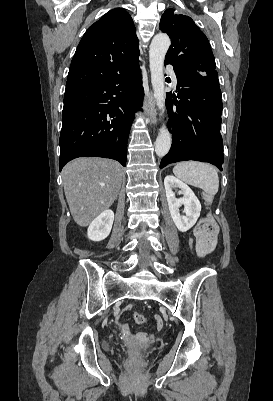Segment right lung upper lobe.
Returning a JSON list of instances; mask_svg holds the SVG:
<instances>
[{"mask_svg":"<svg viewBox=\"0 0 273 401\" xmlns=\"http://www.w3.org/2000/svg\"><path fill=\"white\" fill-rule=\"evenodd\" d=\"M131 16L123 8L107 12L83 35L71 61L64 97L96 86L138 61Z\"/></svg>","mask_w":273,"mask_h":401,"instance_id":"cb5924a9","label":"right lung upper lobe"}]
</instances>
